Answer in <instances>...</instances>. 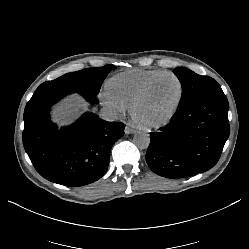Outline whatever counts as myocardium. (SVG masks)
Returning a JSON list of instances; mask_svg holds the SVG:
<instances>
[{
	"instance_id": "obj_1",
	"label": "myocardium",
	"mask_w": 249,
	"mask_h": 249,
	"mask_svg": "<svg viewBox=\"0 0 249 249\" xmlns=\"http://www.w3.org/2000/svg\"><path fill=\"white\" fill-rule=\"evenodd\" d=\"M167 76L175 78L177 80L178 84H179V97H178V101H177L176 105L170 111V113L166 117H164L162 119H158V120H155V121H152V122H142V121L138 120L137 117H136V114H135L138 105L147 96V94L149 93L151 88L154 86V84L157 81H159L160 79H162L164 77H167ZM184 95H185L184 83H183L182 79L176 73L170 72V71L161 73L159 75H156L152 79H150L142 87V89L138 92V94L134 97V99L132 100V102L130 103V106H129L130 115L135 120V122L137 124H139L144 129L151 130V129L161 128V127L169 124L174 119V117L176 116V114L178 113L179 109L182 106V103H183V100H184Z\"/></svg>"
}]
</instances>
